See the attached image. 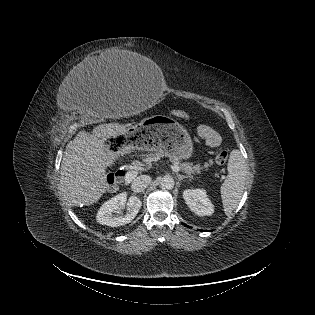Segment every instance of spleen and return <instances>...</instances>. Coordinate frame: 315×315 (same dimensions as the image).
<instances>
[{
    "label": "spleen",
    "mask_w": 315,
    "mask_h": 315,
    "mask_svg": "<svg viewBox=\"0 0 315 315\" xmlns=\"http://www.w3.org/2000/svg\"><path fill=\"white\" fill-rule=\"evenodd\" d=\"M227 169L228 175L220 191L224 212L230 215L241 200L247 173V164L239 150L231 152Z\"/></svg>",
    "instance_id": "spleen-1"
}]
</instances>
